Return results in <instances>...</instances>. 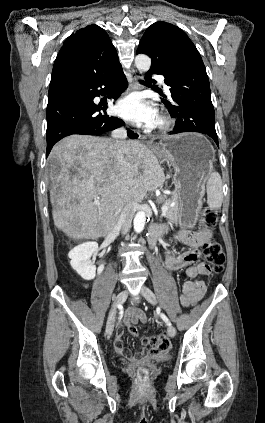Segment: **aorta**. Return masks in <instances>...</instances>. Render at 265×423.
<instances>
[{"instance_id": "obj_1", "label": "aorta", "mask_w": 265, "mask_h": 423, "mask_svg": "<svg viewBox=\"0 0 265 423\" xmlns=\"http://www.w3.org/2000/svg\"><path fill=\"white\" fill-rule=\"evenodd\" d=\"M135 65L140 71H148L151 66V59L147 55L139 54L135 58ZM146 223V214L144 211H138L134 217L133 225L134 230L137 233H140Z\"/></svg>"}]
</instances>
